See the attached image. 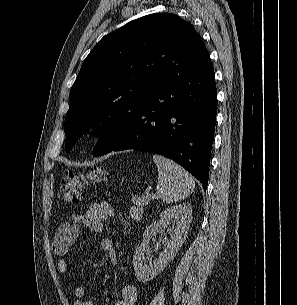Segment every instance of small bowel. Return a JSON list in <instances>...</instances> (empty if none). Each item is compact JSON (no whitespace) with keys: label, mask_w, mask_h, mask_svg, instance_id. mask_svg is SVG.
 I'll return each instance as SVG.
<instances>
[{"label":"small bowel","mask_w":297,"mask_h":305,"mask_svg":"<svg viewBox=\"0 0 297 305\" xmlns=\"http://www.w3.org/2000/svg\"><path fill=\"white\" fill-rule=\"evenodd\" d=\"M115 214L111 204L107 202L93 203L86 211L73 217L67 222L62 223L55 234L53 240L54 252L61 258L58 261V270L62 274H67L68 264L63 258L69 249L75 243L80 229L87 227L96 232H102L105 223ZM101 248L107 253L112 263L116 262V249L112 241L104 238L100 241ZM77 299L76 305H94L90 300L84 299L86 289L83 286H77L74 291ZM138 297L137 287L134 284H126L121 288L120 299L115 305H134Z\"/></svg>","instance_id":"obj_1"}]
</instances>
